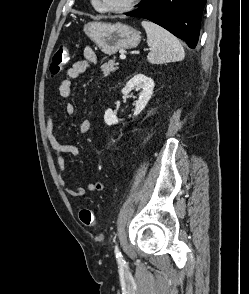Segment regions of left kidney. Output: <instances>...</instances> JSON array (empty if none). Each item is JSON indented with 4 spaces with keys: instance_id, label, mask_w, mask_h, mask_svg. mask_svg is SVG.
Instances as JSON below:
<instances>
[{
    "instance_id": "5707ae66",
    "label": "left kidney",
    "mask_w": 249,
    "mask_h": 294,
    "mask_svg": "<svg viewBox=\"0 0 249 294\" xmlns=\"http://www.w3.org/2000/svg\"><path fill=\"white\" fill-rule=\"evenodd\" d=\"M133 89L136 91L142 89L139 93L138 100L135 103L133 115L137 116L145 108L153 94L154 81L144 74H136L126 83L125 87L122 89V93L124 95H128ZM104 122L105 124L111 126L117 124L119 119L114 114L112 109H107L104 114Z\"/></svg>"
}]
</instances>
